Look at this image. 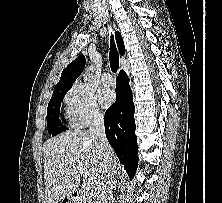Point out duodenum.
<instances>
[{
	"instance_id": "410a0bca",
	"label": "duodenum",
	"mask_w": 222,
	"mask_h": 203,
	"mask_svg": "<svg viewBox=\"0 0 222 203\" xmlns=\"http://www.w3.org/2000/svg\"><path fill=\"white\" fill-rule=\"evenodd\" d=\"M70 197L75 203H91L90 197L80 189L74 190Z\"/></svg>"
}]
</instances>
